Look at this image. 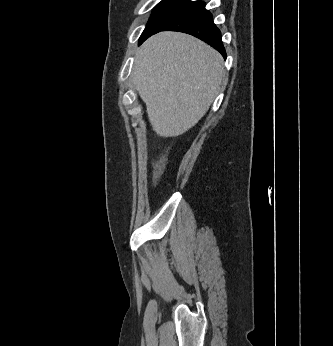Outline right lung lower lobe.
<instances>
[{
  "label": "right lung lower lobe",
  "instance_id": "1",
  "mask_svg": "<svg viewBox=\"0 0 333 346\" xmlns=\"http://www.w3.org/2000/svg\"><path fill=\"white\" fill-rule=\"evenodd\" d=\"M160 31H179L193 35L214 47L226 58L221 32L214 24L212 14L205 9V3L202 1L188 0L171 22ZM153 34L141 39L139 44Z\"/></svg>",
  "mask_w": 333,
  "mask_h": 346
}]
</instances>
